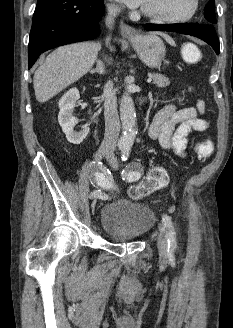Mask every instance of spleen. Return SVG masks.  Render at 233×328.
Listing matches in <instances>:
<instances>
[{
	"mask_svg": "<svg viewBox=\"0 0 233 328\" xmlns=\"http://www.w3.org/2000/svg\"><path fill=\"white\" fill-rule=\"evenodd\" d=\"M185 48H186V49H189V48L192 49V50L194 51V53L198 55V50H197V48H196L194 45H192V44H187V45L185 46Z\"/></svg>",
	"mask_w": 233,
	"mask_h": 328,
	"instance_id": "obj_1",
	"label": "spleen"
}]
</instances>
